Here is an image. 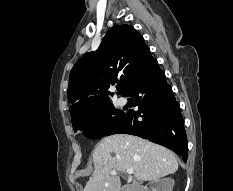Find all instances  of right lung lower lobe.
Here are the masks:
<instances>
[{"instance_id": "right-lung-lower-lobe-1", "label": "right lung lower lobe", "mask_w": 233, "mask_h": 191, "mask_svg": "<svg viewBox=\"0 0 233 191\" xmlns=\"http://www.w3.org/2000/svg\"><path fill=\"white\" fill-rule=\"evenodd\" d=\"M125 95L136 100L138 110L125 113L106 136L137 135L173 150L186 162L187 138L180 106L156 59L152 56L148 59Z\"/></svg>"}]
</instances>
